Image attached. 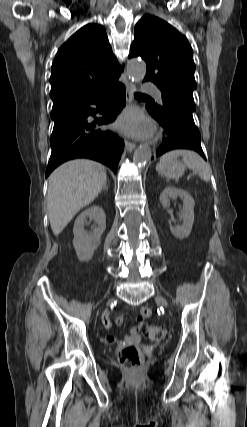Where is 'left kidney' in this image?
Here are the masks:
<instances>
[{"mask_svg":"<svg viewBox=\"0 0 247 427\" xmlns=\"http://www.w3.org/2000/svg\"><path fill=\"white\" fill-rule=\"evenodd\" d=\"M177 197H180L183 200V209L180 212L183 224L180 226H170V231L176 238L184 239L190 235L192 230L194 222V199L185 190L175 187H167L160 194V202L165 208L167 207L170 198L175 199Z\"/></svg>","mask_w":247,"mask_h":427,"instance_id":"5707ae66","label":"left kidney"}]
</instances>
